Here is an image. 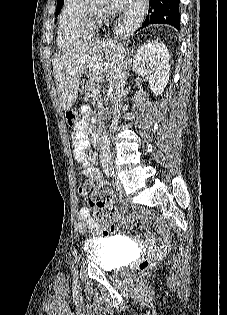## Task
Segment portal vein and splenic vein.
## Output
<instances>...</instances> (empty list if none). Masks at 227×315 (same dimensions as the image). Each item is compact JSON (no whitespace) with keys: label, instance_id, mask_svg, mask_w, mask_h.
<instances>
[{"label":"portal vein and splenic vein","instance_id":"18ae733b","mask_svg":"<svg viewBox=\"0 0 227 315\" xmlns=\"http://www.w3.org/2000/svg\"><path fill=\"white\" fill-rule=\"evenodd\" d=\"M98 94H99V92L97 90H94L92 92V96L95 97V98L98 97Z\"/></svg>","mask_w":227,"mask_h":315}]
</instances>
